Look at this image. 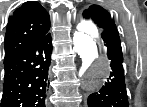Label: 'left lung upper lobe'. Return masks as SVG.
Masks as SVG:
<instances>
[{"label":"left lung upper lobe","mask_w":147,"mask_h":107,"mask_svg":"<svg viewBox=\"0 0 147 107\" xmlns=\"http://www.w3.org/2000/svg\"><path fill=\"white\" fill-rule=\"evenodd\" d=\"M83 18L92 20L100 30L115 28L114 19L111 18L110 13L99 5H91L83 11Z\"/></svg>","instance_id":"1"}]
</instances>
